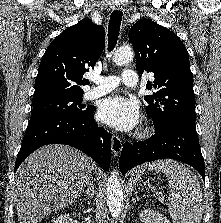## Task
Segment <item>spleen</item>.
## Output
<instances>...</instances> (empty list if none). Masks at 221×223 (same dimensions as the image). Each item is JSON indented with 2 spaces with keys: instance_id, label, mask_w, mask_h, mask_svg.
<instances>
[{
  "instance_id": "1",
  "label": "spleen",
  "mask_w": 221,
  "mask_h": 223,
  "mask_svg": "<svg viewBox=\"0 0 221 223\" xmlns=\"http://www.w3.org/2000/svg\"><path fill=\"white\" fill-rule=\"evenodd\" d=\"M163 173L169 183L168 211L174 223H201L203 197L197 177L185 165L171 159L145 164L143 169Z\"/></svg>"
}]
</instances>
